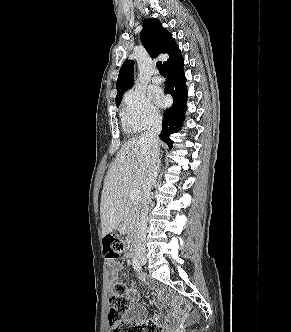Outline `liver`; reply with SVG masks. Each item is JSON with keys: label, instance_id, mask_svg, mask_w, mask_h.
Returning a JSON list of instances; mask_svg holds the SVG:
<instances>
[{"label": "liver", "instance_id": "6515ba94", "mask_svg": "<svg viewBox=\"0 0 291 332\" xmlns=\"http://www.w3.org/2000/svg\"><path fill=\"white\" fill-rule=\"evenodd\" d=\"M140 138L124 143L105 177L100 203L102 237L118 227L127 195L131 190L142 189L145 182L147 150Z\"/></svg>", "mask_w": 291, "mask_h": 332}]
</instances>
